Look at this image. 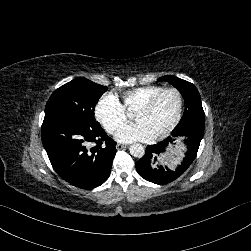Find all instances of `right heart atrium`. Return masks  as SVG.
<instances>
[{"mask_svg":"<svg viewBox=\"0 0 251 251\" xmlns=\"http://www.w3.org/2000/svg\"><path fill=\"white\" fill-rule=\"evenodd\" d=\"M94 115L110 134L115 133L126 120L125 107L113 92L106 93L98 99L94 106Z\"/></svg>","mask_w":251,"mask_h":251,"instance_id":"d8ad5b80","label":"right heart atrium"}]
</instances>
